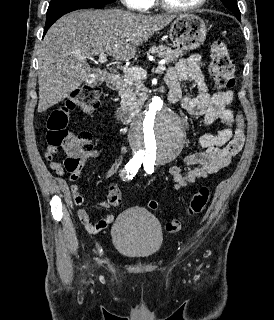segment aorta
I'll return each instance as SVG.
<instances>
[{
  "mask_svg": "<svg viewBox=\"0 0 274 320\" xmlns=\"http://www.w3.org/2000/svg\"><path fill=\"white\" fill-rule=\"evenodd\" d=\"M130 141L137 156L155 163L174 160L185 142V131L178 115L155 96L149 108L131 124Z\"/></svg>",
  "mask_w": 274,
  "mask_h": 320,
  "instance_id": "aorta-1",
  "label": "aorta"
}]
</instances>
